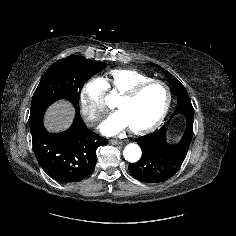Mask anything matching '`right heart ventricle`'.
<instances>
[{"instance_id":"e07e8e85","label":"right heart ventricle","mask_w":236,"mask_h":236,"mask_svg":"<svg viewBox=\"0 0 236 236\" xmlns=\"http://www.w3.org/2000/svg\"><path fill=\"white\" fill-rule=\"evenodd\" d=\"M151 79L153 78L139 70L118 68L110 71L102 80L106 90L122 95L130 91L136 85Z\"/></svg>"}]
</instances>
